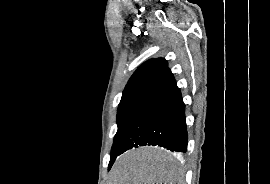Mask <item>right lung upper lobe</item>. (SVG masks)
I'll return each mask as SVG.
<instances>
[{"mask_svg": "<svg viewBox=\"0 0 270 184\" xmlns=\"http://www.w3.org/2000/svg\"><path fill=\"white\" fill-rule=\"evenodd\" d=\"M173 81L174 76L164 58L148 60L131 76L121 100L136 96L150 97Z\"/></svg>", "mask_w": 270, "mask_h": 184, "instance_id": "1", "label": "right lung upper lobe"}]
</instances>
